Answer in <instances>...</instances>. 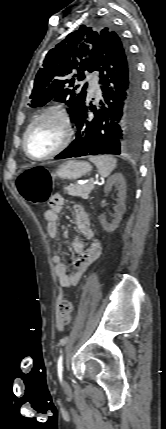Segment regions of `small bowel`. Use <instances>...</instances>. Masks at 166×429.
Instances as JSON below:
<instances>
[{"label": "small bowel", "instance_id": "c3829d8e", "mask_svg": "<svg viewBox=\"0 0 166 429\" xmlns=\"http://www.w3.org/2000/svg\"><path fill=\"white\" fill-rule=\"evenodd\" d=\"M63 204L64 198L61 195H55L51 200L50 209L45 212L47 233L54 242L58 240L59 214ZM74 213V220L79 233L86 238H93L94 231L91 227L89 216L84 208L80 205H76L74 207ZM72 247L78 256L72 264L73 271L70 274L67 273V266L62 262L59 250L55 248L53 251L52 261L55 265L59 289H68L77 285L86 270L99 257L101 252V244L97 240H94L89 247H86L81 239L76 238L72 242ZM58 330H62L61 325H58Z\"/></svg>", "mask_w": 166, "mask_h": 429}]
</instances>
